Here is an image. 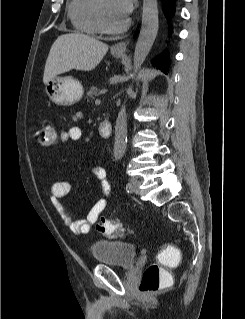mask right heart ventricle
Segmentation results:
<instances>
[{
	"mask_svg": "<svg viewBox=\"0 0 245 319\" xmlns=\"http://www.w3.org/2000/svg\"><path fill=\"white\" fill-rule=\"evenodd\" d=\"M99 0H70L68 15L73 26L82 33L98 35L101 33L98 18L97 4Z\"/></svg>",
	"mask_w": 245,
	"mask_h": 319,
	"instance_id": "obj_1",
	"label": "right heart ventricle"
}]
</instances>
